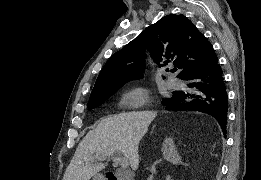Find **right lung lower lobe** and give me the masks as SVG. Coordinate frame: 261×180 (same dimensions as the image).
Here are the masks:
<instances>
[{"mask_svg":"<svg viewBox=\"0 0 261 180\" xmlns=\"http://www.w3.org/2000/svg\"><path fill=\"white\" fill-rule=\"evenodd\" d=\"M183 80L193 89L191 93L175 92L172 97L162 103L167 110H195L213 116L226 135L228 95L222 69L218 60L200 67Z\"/></svg>","mask_w":261,"mask_h":180,"instance_id":"obj_1","label":"right lung lower lobe"}]
</instances>
